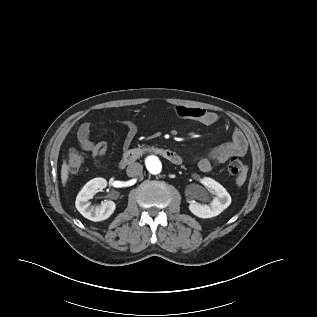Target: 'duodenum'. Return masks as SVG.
Returning <instances> with one entry per match:
<instances>
[{"label": "duodenum", "mask_w": 317, "mask_h": 317, "mask_svg": "<svg viewBox=\"0 0 317 317\" xmlns=\"http://www.w3.org/2000/svg\"><path fill=\"white\" fill-rule=\"evenodd\" d=\"M151 152L157 155L162 156L164 159L169 161L172 164L179 165L182 162L181 156L172 150L167 149H160V148H134L127 150L121 161H120V167H125L128 164L134 163L137 160H139L144 154Z\"/></svg>", "instance_id": "obj_1"}]
</instances>
